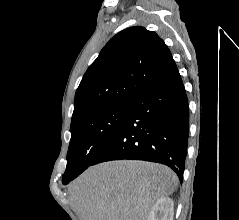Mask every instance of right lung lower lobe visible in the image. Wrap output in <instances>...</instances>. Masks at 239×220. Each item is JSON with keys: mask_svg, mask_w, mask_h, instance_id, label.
Returning <instances> with one entry per match:
<instances>
[{"mask_svg": "<svg viewBox=\"0 0 239 220\" xmlns=\"http://www.w3.org/2000/svg\"><path fill=\"white\" fill-rule=\"evenodd\" d=\"M188 133V99L176 68L130 103L124 121L92 165L119 159L157 162L173 169L182 182Z\"/></svg>", "mask_w": 239, "mask_h": 220, "instance_id": "98d812e1", "label": "right lung lower lobe"}]
</instances>
